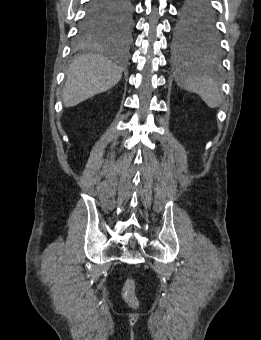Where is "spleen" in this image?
<instances>
[{
	"instance_id": "obj_1",
	"label": "spleen",
	"mask_w": 261,
	"mask_h": 340,
	"mask_svg": "<svg viewBox=\"0 0 261 340\" xmlns=\"http://www.w3.org/2000/svg\"><path fill=\"white\" fill-rule=\"evenodd\" d=\"M177 83L187 91L198 94L210 108L222 104L223 97L217 83L196 65H186L178 74Z\"/></svg>"
}]
</instances>
